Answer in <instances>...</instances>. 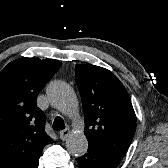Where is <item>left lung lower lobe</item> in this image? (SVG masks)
Masks as SVG:
<instances>
[{
    "label": "left lung lower lobe",
    "mask_w": 168,
    "mask_h": 168,
    "mask_svg": "<svg viewBox=\"0 0 168 168\" xmlns=\"http://www.w3.org/2000/svg\"><path fill=\"white\" fill-rule=\"evenodd\" d=\"M76 160L78 168H116L121 161L104 151L92 147H89L88 152L76 158Z\"/></svg>",
    "instance_id": "0a47b994"
}]
</instances>
